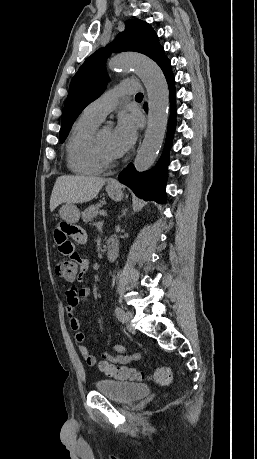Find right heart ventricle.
I'll use <instances>...</instances> for the list:
<instances>
[{
  "label": "right heart ventricle",
  "instance_id": "obj_1",
  "mask_svg": "<svg viewBox=\"0 0 257 459\" xmlns=\"http://www.w3.org/2000/svg\"><path fill=\"white\" fill-rule=\"evenodd\" d=\"M101 121L84 113L77 119L66 145L67 164L77 175H96L104 167L94 156L93 137Z\"/></svg>",
  "mask_w": 257,
  "mask_h": 459
}]
</instances>
